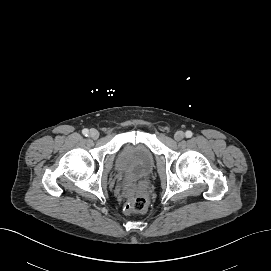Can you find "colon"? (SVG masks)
Returning <instances> with one entry per match:
<instances>
[{
    "label": "colon",
    "mask_w": 271,
    "mask_h": 271,
    "mask_svg": "<svg viewBox=\"0 0 271 271\" xmlns=\"http://www.w3.org/2000/svg\"><path fill=\"white\" fill-rule=\"evenodd\" d=\"M148 207V200L143 196H138L130 200L126 206L125 210L131 214L143 213Z\"/></svg>",
    "instance_id": "1"
}]
</instances>
